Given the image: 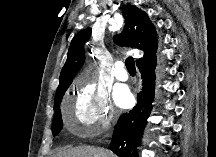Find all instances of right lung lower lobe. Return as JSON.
<instances>
[{
    "label": "right lung lower lobe",
    "instance_id": "1",
    "mask_svg": "<svg viewBox=\"0 0 216 157\" xmlns=\"http://www.w3.org/2000/svg\"><path fill=\"white\" fill-rule=\"evenodd\" d=\"M156 65V56L138 65L143 80L142 90L137 95L136 106L129 113H124L119 118L111 141V150L118 157H139L137 147L152 110Z\"/></svg>",
    "mask_w": 216,
    "mask_h": 157
}]
</instances>
